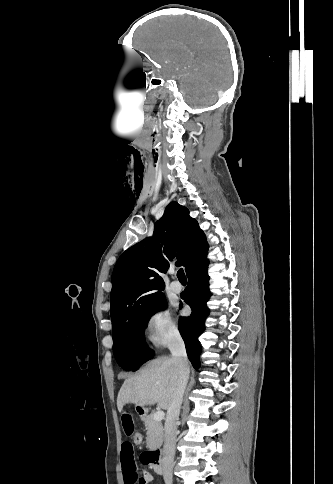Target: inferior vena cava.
<instances>
[{"label": "inferior vena cava", "instance_id": "1", "mask_svg": "<svg viewBox=\"0 0 333 484\" xmlns=\"http://www.w3.org/2000/svg\"><path fill=\"white\" fill-rule=\"evenodd\" d=\"M168 348L172 354V359L178 363L180 374L177 390L167 411L165 422V441L163 446V477L165 484H172L173 462L177 437V420L179 419L183 395L189 379L190 369L185 344L179 332L174 331L170 335Z\"/></svg>", "mask_w": 333, "mask_h": 484}]
</instances>
